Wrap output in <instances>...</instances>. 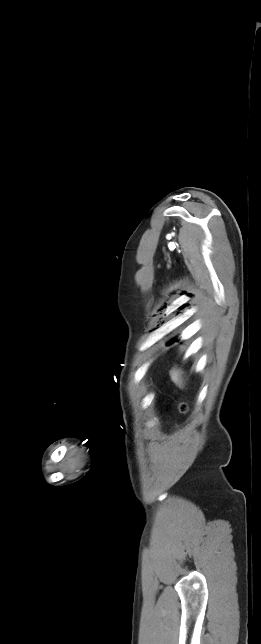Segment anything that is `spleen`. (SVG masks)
<instances>
[{
	"label": "spleen",
	"mask_w": 261,
	"mask_h": 644,
	"mask_svg": "<svg viewBox=\"0 0 261 644\" xmlns=\"http://www.w3.org/2000/svg\"><path fill=\"white\" fill-rule=\"evenodd\" d=\"M171 380L179 387L183 388V379L181 377V372L176 369L170 371Z\"/></svg>",
	"instance_id": "obj_1"
}]
</instances>
